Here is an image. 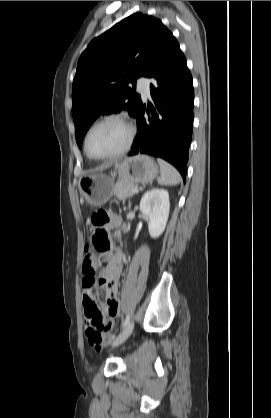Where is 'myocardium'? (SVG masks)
<instances>
[{"label": "myocardium", "mask_w": 271, "mask_h": 418, "mask_svg": "<svg viewBox=\"0 0 271 418\" xmlns=\"http://www.w3.org/2000/svg\"><path fill=\"white\" fill-rule=\"evenodd\" d=\"M109 121H117V122H120V123H122L126 126V128L128 130L127 141L120 150H118L114 153H111V154H108V155H105V156H94L89 151V147H88L89 137H90L91 133L93 132V130L95 128H97L99 125H101L103 123H106V122H109ZM135 134H136L135 127L127 117H125L123 115H120V114L106 115V116L100 118L99 120H97L96 122H94L92 124V126L89 128V130L87 131V133L85 135V139H84L85 153L90 159L97 160V161L109 160V159H114V158L120 157V156L124 155L125 153H127L130 150V148L133 144L134 138H135Z\"/></svg>", "instance_id": "f54148a6"}]
</instances>
